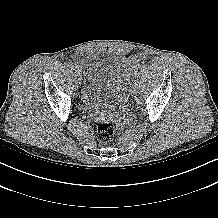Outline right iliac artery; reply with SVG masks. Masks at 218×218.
<instances>
[{
    "instance_id": "right-iliac-artery-1",
    "label": "right iliac artery",
    "mask_w": 218,
    "mask_h": 218,
    "mask_svg": "<svg viewBox=\"0 0 218 218\" xmlns=\"http://www.w3.org/2000/svg\"><path fill=\"white\" fill-rule=\"evenodd\" d=\"M68 67H69L71 70H74V66H73L72 63H69V64H68Z\"/></svg>"
}]
</instances>
